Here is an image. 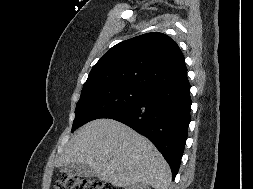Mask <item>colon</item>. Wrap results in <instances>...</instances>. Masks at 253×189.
<instances>
[{"mask_svg":"<svg viewBox=\"0 0 253 189\" xmlns=\"http://www.w3.org/2000/svg\"><path fill=\"white\" fill-rule=\"evenodd\" d=\"M53 189H115V187L98 179L65 175L55 181Z\"/></svg>","mask_w":253,"mask_h":189,"instance_id":"1","label":"colon"}]
</instances>
